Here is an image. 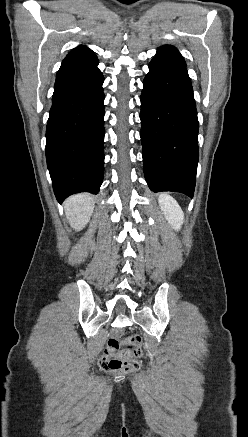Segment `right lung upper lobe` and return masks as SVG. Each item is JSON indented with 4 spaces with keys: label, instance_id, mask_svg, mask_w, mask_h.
<instances>
[{
    "label": "right lung upper lobe",
    "instance_id": "obj_1",
    "mask_svg": "<svg viewBox=\"0 0 248 437\" xmlns=\"http://www.w3.org/2000/svg\"><path fill=\"white\" fill-rule=\"evenodd\" d=\"M92 50H90L88 47L80 45L74 49L71 50V52L67 55V58H79V57H87V56H94Z\"/></svg>",
    "mask_w": 248,
    "mask_h": 437
}]
</instances>
